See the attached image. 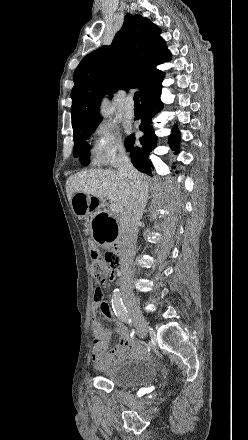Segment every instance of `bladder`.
<instances>
[{"label": "bladder", "instance_id": "obj_1", "mask_svg": "<svg viewBox=\"0 0 248 440\" xmlns=\"http://www.w3.org/2000/svg\"><path fill=\"white\" fill-rule=\"evenodd\" d=\"M154 371L150 365L137 360H126L106 368L101 377L118 387H134L153 379Z\"/></svg>", "mask_w": 248, "mask_h": 440}]
</instances>
